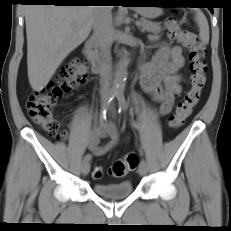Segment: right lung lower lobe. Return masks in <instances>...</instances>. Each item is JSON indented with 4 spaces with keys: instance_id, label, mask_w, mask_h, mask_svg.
<instances>
[{
    "instance_id": "98d812e1",
    "label": "right lung lower lobe",
    "mask_w": 231,
    "mask_h": 231,
    "mask_svg": "<svg viewBox=\"0 0 231 231\" xmlns=\"http://www.w3.org/2000/svg\"><path fill=\"white\" fill-rule=\"evenodd\" d=\"M79 1L81 0H22V2L26 3H49L54 5H84L83 2Z\"/></svg>"
}]
</instances>
